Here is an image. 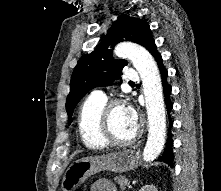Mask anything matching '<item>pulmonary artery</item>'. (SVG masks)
<instances>
[{"mask_svg":"<svg viewBox=\"0 0 221 191\" xmlns=\"http://www.w3.org/2000/svg\"><path fill=\"white\" fill-rule=\"evenodd\" d=\"M125 79L129 80L131 82L138 81L139 80V74H138L137 71L128 70V71L125 72ZM92 96L96 97V98L106 99V96L102 91H94L92 93Z\"/></svg>","mask_w":221,"mask_h":191,"instance_id":"pulmonary-artery-1","label":"pulmonary artery"}]
</instances>
